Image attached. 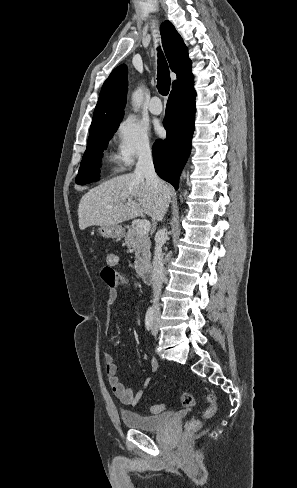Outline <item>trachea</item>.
Returning <instances> with one entry per match:
<instances>
[{"mask_svg": "<svg viewBox=\"0 0 297 488\" xmlns=\"http://www.w3.org/2000/svg\"><path fill=\"white\" fill-rule=\"evenodd\" d=\"M160 49V48H159ZM170 72L168 64L163 56L162 51L158 53V74H157V89L163 96L168 95L170 90Z\"/></svg>", "mask_w": 297, "mask_h": 488, "instance_id": "1", "label": "trachea"}]
</instances>
